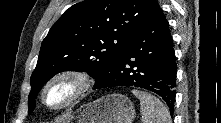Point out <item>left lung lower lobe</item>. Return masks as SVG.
I'll use <instances>...</instances> for the list:
<instances>
[{
	"mask_svg": "<svg viewBox=\"0 0 221 123\" xmlns=\"http://www.w3.org/2000/svg\"><path fill=\"white\" fill-rule=\"evenodd\" d=\"M176 62L169 24L158 6L132 36L117 61L97 79L94 88L136 86L150 90L173 113Z\"/></svg>",
	"mask_w": 221,
	"mask_h": 123,
	"instance_id": "1",
	"label": "left lung lower lobe"
}]
</instances>
